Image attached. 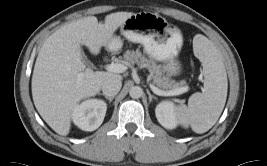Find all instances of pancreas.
Here are the masks:
<instances>
[{"mask_svg":"<svg viewBox=\"0 0 267 166\" xmlns=\"http://www.w3.org/2000/svg\"><path fill=\"white\" fill-rule=\"evenodd\" d=\"M124 63L127 65L137 64L149 70L153 83L162 90H174L185 84V81L180 83L172 80L168 75H165V66L158 65L152 58H146L139 50H127L124 54Z\"/></svg>","mask_w":267,"mask_h":166,"instance_id":"cf45deb5","label":"pancreas"}]
</instances>
